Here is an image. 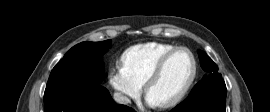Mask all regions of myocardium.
Here are the masks:
<instances>
[{"instance_id":"obj_1","label":"myocardium","mask_w":270,"mask_h":112,"mask_svg":"<svg viewBox=\"0 0 270 112\" xmlns=\"http://www.w3.org/2000/svg\"><path fill=\"white\" fill-rule=\"evenodd\" d=\"M179 51H185L190 55L191 60H192V72H191L190 78L187 81L186 85L183 87V89L176 96L159 104V106L162 108L173 107V106L177 105L179 102H181L184 99V97L188 94L190 89L192 88V86L196 80V77H197L198 64H197V59H196L194 53L189 48H187L185 46H176L175 48H173L172 50H170L169 52H167L166 54H164L160 58L158 63L155 65V67L153 68V70L149 74L148 78L146 79V81L144 83L145 93L148 94L149 88L160 77V75L162 74V72H163L166 64L170 60V58Z\"/></svg>"}]
</instances>
